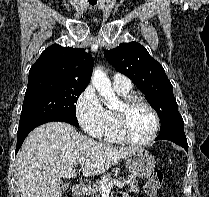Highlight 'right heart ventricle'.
Here are the masks:
<instances>
[{"mask_svg":"<svg viewBox=\"0 0 209 197\" xmlns=\"http://www.w3.org/2000/svg\"><path fill=\"white\" fill-rule=\"evenodd\" d=\"M116 92L122 96L123 98H127L131 95V90L124 91V90H117ZM101 137L104 138V140L108 142H121L122 138L118 132L117 129V123H116V115L114 110H107V122L103 129Z\"/></svg>","mask_w":209,"mask_h":197,"instance_id":"1","label":"right heart ventricle"}]
</instances>
